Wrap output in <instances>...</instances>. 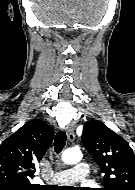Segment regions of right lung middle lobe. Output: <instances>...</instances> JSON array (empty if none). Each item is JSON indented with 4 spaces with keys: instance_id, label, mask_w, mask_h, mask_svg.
<instances>
[{
    "instance_id": "obj_1",
    "label": "right lung middle lobe",
    "mask_w": 135,
    "mask_h": 190,
    "mask_svg": "<svg viewBox=\"0 0 135 190\" xmlns=\"http://www.w3.org/2000/svg\"><path fill=\"white\" fill-rule=\"evenodd\" d=\"M0 190H38V187H20L14 185H0Z\"/></svg>"
}]
</instances>
